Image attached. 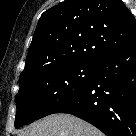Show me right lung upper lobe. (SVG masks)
I'll list each match as a JSON object with an SVG mask.
<instances>
[{
  "label": "right lung upper lobe",
  "instance_id": "obj_1",
  "mask_svg": "<svg viewBox=\"0 0 136 136\" xmlns=\"http://www.w3.org/2000/svg\"><path fill=\"white\" fill-rule=\"evenodd\" d=\"M136 40V20L121 0H65L37 24L19 83L58 65L97 64Z\"/></svg>",
  "mask_w": 136,
  "mask_h": 136
}]
</instances>
